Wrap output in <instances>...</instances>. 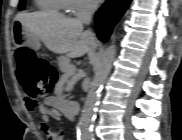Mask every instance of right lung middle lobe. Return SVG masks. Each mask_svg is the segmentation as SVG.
<instances>
[{"label": "right lung middle lobe", "instance_id": "dd1d6c3e", "mask_svg": "<svg viewBox=\"0 0 182 140\" xmlns=\"http://www.w3.org/2000/svg\"><path fill=\"white\" fill-rule=\"evenodd\" d=\"M24 3H25V0L20 1V4H19L20 9L24 8Z\"/></svg>", "mask_w": 182, "mask_h": 140}]
</instances>
